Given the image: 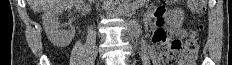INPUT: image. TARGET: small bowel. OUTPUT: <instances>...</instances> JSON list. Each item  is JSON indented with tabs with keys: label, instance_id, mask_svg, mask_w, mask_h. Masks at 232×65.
Segmentation results:
<instances>
[{
	"label": "small bowel",
	"instance_id": "c3829d8e",
	"mask_svg": "<svg viewBox=\"0 0 232 65\" xmlns=\"http://www.w3.org/2000/svg\"><path fill=\"white\" fill-rule=\"evenodd\" d=\"M146 24L150 28L151 40L157 45L158 41L156 39L157 35L166 38L172 34V30L166 26V19L164 14L155 8H150L146 16ZM177 34L179 36H184L183 30L178 29ZM161 65H169V62H161Z\"/></svg>",
	"mask_w": 232,
	"mask_h": 65
}]
</instances>
